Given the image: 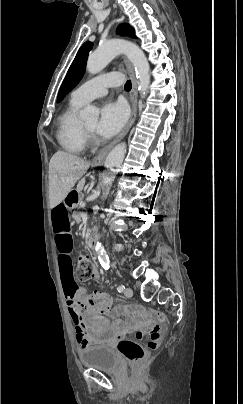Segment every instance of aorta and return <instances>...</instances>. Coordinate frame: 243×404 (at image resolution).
I'll return each instance as SVG.
<instances>
[{"label":"aorta","mask_w":243,"mask_h":404,"mask_svg":"<svg viewBox=\"0 0 243 404\" xmlns=\"http://www.w3.org/2000/svg\"><path fill=\"white\" fill-rule=\"evenodd\" d=\"M119 54H124L127 60L131 62L135 70L136 78H138V92H140L141 98H145L150 84V68L144 52H142L136 44H133V42H127V40H107V42H102L95 52L89 54L86 66L87 72H89V74L102 72V70L110 64L111 60H114ZM80 116L85 122H95L99 116V110L94 108V106H86V108L81 110ZM126 150L127 146L124 142L123 144H118V146H115V148L111 150L105 160L101 173V178L106 188L103 198H107L109 194L110 186L115 181V170L120 168L125 158ZM95 250L99 256L100 262L108 266V258L105 256L99 242H97Z\"/></svg>","instance_id":"aorta-1"}]
</instances>
